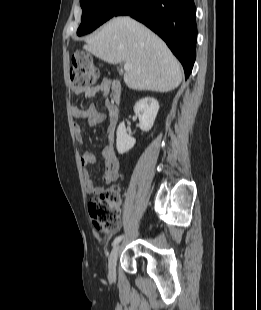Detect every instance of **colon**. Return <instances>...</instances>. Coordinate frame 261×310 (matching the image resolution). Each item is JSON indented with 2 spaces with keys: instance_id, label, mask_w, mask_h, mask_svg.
I'll list each match as a JSON object with an SVG mask.
<instances>
[{
  "instance_id": "1",
  "label": "colon",
  "mask_w": 261,
  "mask_h": 310,
  "mask_svg": "<svg viewBox=\"0 0 261 310\" xmlns=\"http://www.w3.org/2000/svg\"><path fill=\"white\" fill-rule=\"evenodd\" d=\"M99 78V71L92 58L86 53L73 55L70 80L74 87H90ZM120 195L116 187H110L88 203L89 214L94 226L105 233L116 231L120 225Z\"/></svg>"
}]
</instances>
